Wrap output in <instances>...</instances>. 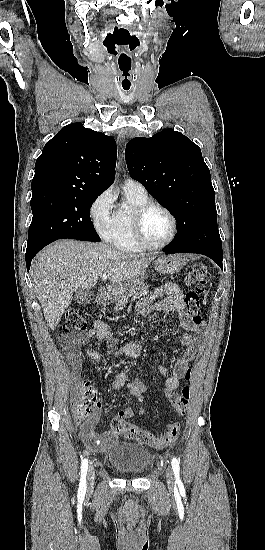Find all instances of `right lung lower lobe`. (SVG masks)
Here are the masks:
<instances>
[{
    "instance_id": "98d812e1",
    "label": "right lung lower lobe",
    "mask_w": 265,
    "mask_h": 550,
    "mask_svg": "<svg viewBox=\"0 0 265 550\" xmlns=\"http://www.w3.org/2000/svg\"><path fill=\"white\" fill-rule=\"evenodd\" d=\"M65 238H71V239L89 241V240H86V239H83V238H79V237H74V236L65 237ZM40 250H41V249H38V250H36V251H34V252H31V253H26V264H27V270H28V271H29V269H30V265H31L32 259L34 258V256H35Z\"/></svg>"
}]
</instances>
